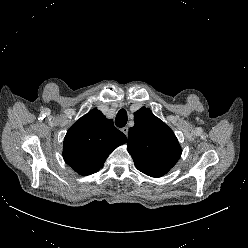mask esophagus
<instances>
[{
  "mask_svg": "<svg viewBox=\"0 0 248 248\" xmlns=\"http://www.w3.org/2000/svg\"><path fill=\"white\" fill-rule=\"evenodd\" d=\"M121 131L127 136V135H128L129 129H128V127H123V128L121 129Z\"/></svg>",
  "mask_w": 248,
  "mask_h": 248,
  "instance_id": "34e87169",
  "label": "esophagus"
}]
</instances>
